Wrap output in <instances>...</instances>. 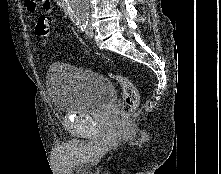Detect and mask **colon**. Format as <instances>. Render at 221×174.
Segmentation results:
<instances>
[{
    "instance_id": "obj_1",
    "label": "colon",
    "mask_w": 221,
    "mask_h": 174,
    "mask_svg": "<svg viewBox=\"0 0 221 174\" xmlns=\"http://www.w3.org/2000/svg\"><path fill=\"white\" fill-rule=\"evenodd\" d=\"M36 34L43 41L50 38L49 20L46 16H40L36 24ZM111 78L120 86L123 94L121 114L123 122H126L136 111L139 105V93L135 84L127 77L119 74H110Z\"/></svg>"
}]
</instances>
